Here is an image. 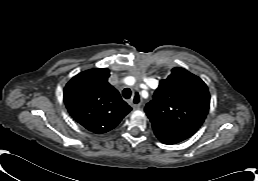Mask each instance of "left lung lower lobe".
Here are the masks:
<instances>
[{"instance_id": "obj_1", "label": "left lung lower lobe", "mask_w": 258, "mask_h": 181, "mask_svg": "<svg viewBox=\"0 0 258 181\" xmlns=\"http://www.w3.org/2000/svg\"><path fill=\"white\" fill-rule=\"evenodd\" d=\"M156 137L164 144H175L183 141V138L173 136L162 131H154Z\"/></svg>"}]
</instances>
